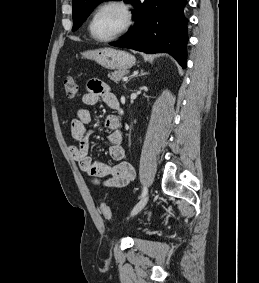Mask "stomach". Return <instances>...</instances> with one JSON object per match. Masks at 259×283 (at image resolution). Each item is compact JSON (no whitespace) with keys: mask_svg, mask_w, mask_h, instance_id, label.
Segmentation results:
<instances>
[{"mask_svg":"<svg viewBox=\"0 0 259 283\" xmlns=\"http://www.w3.org/2000/svg\"><path fill=\"white\" fill-rule=\"evenodd\" d=\"M82 56L96 61L107 69L126 70L136 62L135 57L130 53L108 47L85 51Z\"/></svg>","mask_w":259,"mask_h":283,"instance_id":"0dacf381","label":"stomach"}]
</instances>
